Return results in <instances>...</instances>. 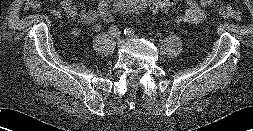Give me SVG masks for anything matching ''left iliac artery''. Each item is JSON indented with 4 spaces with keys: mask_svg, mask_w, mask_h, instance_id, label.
<instances>
[{
    "mask_svg": "<svg viewBox=\"0 0 253 131\" xmlns=\"http://www.w3.org/2000/svg\"><path fill=\"white\" fill-rule=\"evenodd\" d=\"M124 34H125L126 36H131V35H134V34H135V31H134L132 28L127 27V28L124 29Z\"/></svg>",
    "mask_w": 253,
    "mask_h": 131,
    "instance_id": "1",
    "label": "left iliac artery"
}]
</instances>
